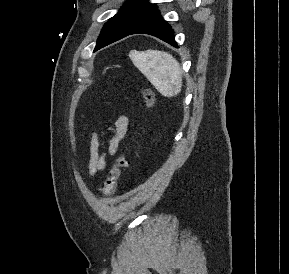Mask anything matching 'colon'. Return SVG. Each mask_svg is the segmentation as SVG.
Listing matches in <instances>:
<instances>
[{"mask_svg":"<svg viewBox=\"0 0 289 274\" xmlns=\"http://www.w3.org/2000/svg\"><path fill=\"white\" fill-rule=\"evenodd\" d=\"M146 111L149 112L155 105V94L150 88H143L141 90ZM138 135L135 133L134 138ZM128 166V161L126 159V151L121 153L114 160L111 168L108 171L104 186L102 188V193L104 196L108 197L112 195L117 187L121 171Z\"/></svg>","mask_w":289,"mask_h":274,"instance_id":"5ec220e1","label":"colon"}]
</instances>
